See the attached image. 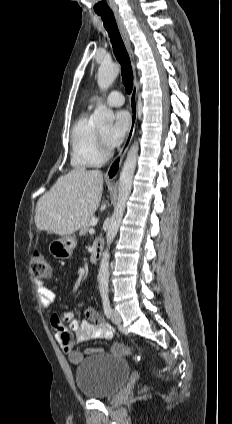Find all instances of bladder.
<instances>
[{
    "label": "bladder",
    "mask_w": 232,
    "mask_h": 424,
    "mask_svg": "<svg viewBox=\"0 0 232 424\" xmlns=\"http://www.w3.org/2000/svg\"><path fill=\"white\" fill-rule=\"evenodd\" d=\"M131 375L128 362L105 353L86 357L76 368L79 392L89 399H106L115 395Z\"/></svg>",
    "instance_id": "31cf9c89"
}]
</instances>
